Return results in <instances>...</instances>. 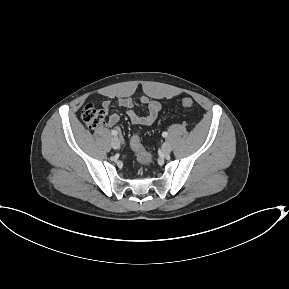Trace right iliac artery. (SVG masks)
<instances>
[{
	"label": "right iliac artery",
	"mask_w": 289,
	"mask_h": 289,
	"mask_svg": "<svg viewBox=\"0 0 289 289\" xmlns=\"http://www.w3.org/2000/svg\"><path fill=\"white\" fill-rule=\"evenodd\" d=\"M117 131L116 130H112V135L117 136Z\"/></svg>",
	"instance_id": "1"
}]
</instances>
